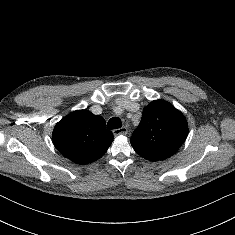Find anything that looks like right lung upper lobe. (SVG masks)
I'll return each mask as SVG.
<instances>
[{
  "mask_svg": "<svg viewBox=\"0 0 235 235\" xmlns=\"http://www.w3.org/2000/svg\"><path fill=\"white\" fill-rule=\"evenodd\" d=\"M58 151L77 164H87L101 158L113 141L103 117L88 110L74 111L59 121L53 131Z\"/></svg>",
  "mask_w": 235,
  "mask_h": 235,
  "instance_id": "1",
  "label": "right lung upper lobe"
}]
</instances>
